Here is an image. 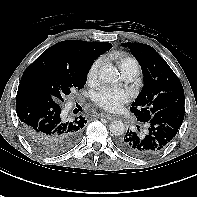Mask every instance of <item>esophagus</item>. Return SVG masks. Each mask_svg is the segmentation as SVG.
<instances>
[{
  "mask_svg": "<svg viewBox=\"0 0 197 197\" xmlns=\"http://www.w3.org/2000/svg\"><path fill=\"white\" fill-rule=\"evenodd\" d=\"M100 116L109 120V121H112V120L116 119L115 115H111V114H108V113H101Z\"/></svg>",
  "mask_w": 197,
  "mask_h": 197,
  "instance_id": "obj_1",
  "label": "esophagus"
}]
</instances>
